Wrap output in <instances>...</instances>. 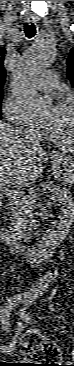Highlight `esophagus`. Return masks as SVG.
Here are the masks:
<instances>
[{"mask_svg":"<svg viewBox=\"0 0 74 366\" xmlns=\"http://www.w3.org/2000/svg\"><path fill=\"white\" fill-rule=\"evenodd\" d=\"M26 21L28 23H36L38 21V18L36 16H28Z\"/></svg>","mask_w":74,"mask_h":366,"instance_id":"34e87169","label":"esophagus"}]
</instances>
